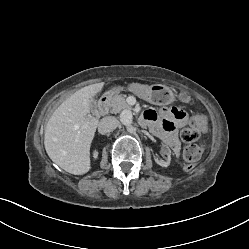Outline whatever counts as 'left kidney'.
Listing matches in <instances>:
<instances>
[{
  "mask_svg": "<svg viewBox=\"0 0 249 249\" xmlns=\"http://www.w3.org/2000/svg\"><path fill=\"white\" fill-rule=\"evenodd\" d=\"M171 150L166 145L159 147V152L152 155V161L162 167H168L171 161Z\"/></svg>",
  "mask_w": 249,
  "mask_h": 249,
  "instance_id": "1",
  "label": "left kidney"
}]
</instances>
